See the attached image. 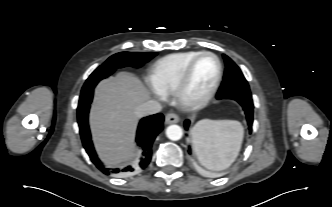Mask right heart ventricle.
Segmentation results:
<instances>
[{"instance_id":"right-heart-ventricle-1","label":"right heart ventricle","mask_w":332,"mask_h":207,"mask_svg":"<svg viewBox=\"0 0 332 207\" xmlns=\"http://www.w3.org/2000/svg\"><path fill=\"white\" fill-rule=\"evenodd\" d=\"M201 51H187L164 56L152 66L149 80L162 95L173 93L185 68Z\"/></svg>"}]
</instances>
